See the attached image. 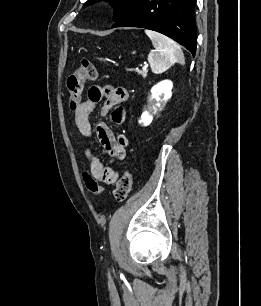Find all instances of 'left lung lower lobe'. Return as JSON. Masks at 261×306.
<instances>
[{
    "label": "left lung lower lobe",
    "mask_w": 261,
    "mask_h": 306,
    "mask_svg": "<svg viewBox=\"0 0 261 306\" xmlns=\"http://www.w3.org/2000/svg\"><path fill=\"white\" fill-rule=\"evenodd\" d=\"M196 0H135L115 27H143L160 32L196 52Z\"/></svg>",
    "instance_id": "left-lung-lower-lobe-1"
}]
</instances>
